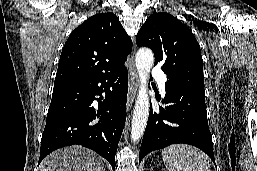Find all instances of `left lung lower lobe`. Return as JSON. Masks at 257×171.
Segmentation results:
<instances>
[{
    "label": "left lung lower lobe",
    "instance_id": "0a47b994",
    "mask_svg": "<svg viewBox=\"0 0 257 171\" xmlns=\"http://www.w3.org/2000/svg\"><path fill=\"white\" fill-rule=\"evenodd\" d=\"M165 107L159 113L150 110L140 148V160L151 151L171 144L198 147L215 163L212 135L207 121L205 94L167 81Z\"/></svg>",
    "mask_w": 257,
    "mask_h": 171
}]
</instances>
